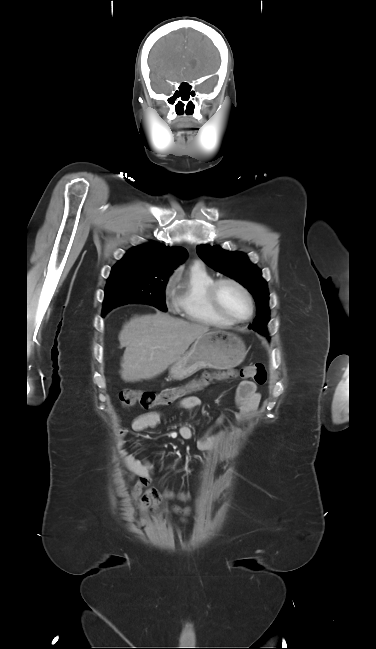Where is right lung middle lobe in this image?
<instances>
[{"instance_id":"obj_1","label":"right lung middle lobe","mask_w":376,"mask_h":649,"mask_svg":"<svg viewBox=\"0 0 376 649\" xmlns=\"http://www.w3.org/2000/svg\"><path fill=\"white\" fill-rule=\"evenodd\" d=\"M170 274L149 273L133 261L120 260L107 280L102 316L112 308L127 303H145L167 311L165 286Z\"/></svg>"}]
</instances>
